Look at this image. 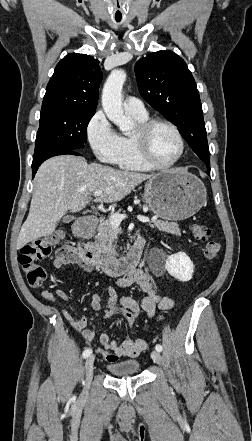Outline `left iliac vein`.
Listing matches in <instances>:
<instances>
[{
	"mask_svg": "<svg viewBox=\"0 0 252 441\" xmlns=\"http://www.w3.org/2000/svg\"><path fill=\"white\" fill-rule=\"evenodd\" d=\"M151 358L153 359V361L155 363H157V364L161 363L162 358H161V355H160V353L158 351H153L151 353Z\"/></svg>",
	"mask_w": 252,
	"mask_h": 441,
	"instance_id": "left-iliac-vein-1",
	"label": "left iliac vein"
}]
</instances>
